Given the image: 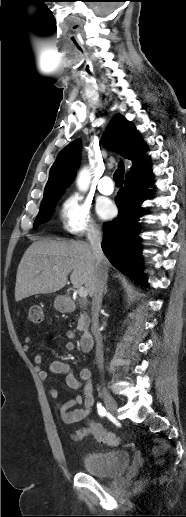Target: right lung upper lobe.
<instances>
[{
	"label": "right lung upper lobe",
	"mask_w": 186,
	"mask_h": 517,
	"mask_svg": "<svg viewBox=\"0 0 186 517\" xmlns=\"http://www.w3.org/2000/svg\"><path fill=\"white\" fill-rule=\"evenodd\" d=\"M107 131L108 133L102 137L103 142L108 147L119 149L124 158L133 162V167L126 176L149 164L145 143L134 125L124 116L116 114ZM80 150L79 140L71 142L61 150L51 167L43 199L52 194H61V190L69 185L79 165Z\"/></svg>",
	"instance_id": "cb5924a9"
}]
</instances>
